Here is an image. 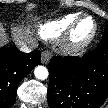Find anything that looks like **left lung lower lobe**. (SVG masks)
Wrapping results in <instances>:
<instances>
[{
    "label": "left lung lower lobe",
    "mask_w": 108,
    "mask_h": 108,
    "mask_svg": "<svg viewBox=\"0 0 108 108\" xmlns=\"http://www.w3.org/2000/svg\"><path fill=\"white\" fill-rule=\"evenodd\" d=\"M49 76L50 108H100L108 98V39L81 58L53 57Z\"/></svg>",
    "instance_id": "left-lung-lower-lobe-1"
}]
</instances>
